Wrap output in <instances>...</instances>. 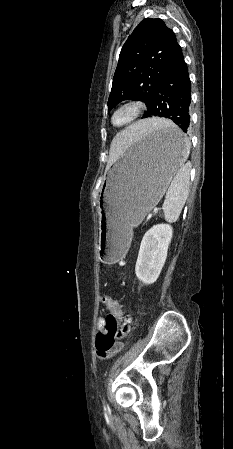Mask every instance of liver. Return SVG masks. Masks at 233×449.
Returning a JSON list of instances; mask_svg holds the SVG:
<instances>
[{"mask_svg":"<svg viewBox=\"0 0 233 449\" xmlns=\"http://www.w3.org/2000/svg\"><path fill=\"white\" fill-rule=\"evenodd\" d=\"M170 121L160 118H151L140 120L120 133H113L110 147V161L115 162L125 149L133 142H139L140 139L152 130L163 127Z\"/></svg>","mask_w":233,"mask_h":449,"instance_id":"6515ba94","label":"liver"}]
</instances>
